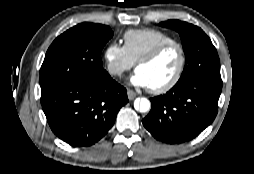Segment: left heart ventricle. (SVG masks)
<instances>
[{"label": "left heart ventricle", "mask_w": 254, "mask_h": 174, "mask_svg": "<svg viewBox=\"0 0 254 174\" xmlns=\"http://www.w3.org/2000/svg\"><path fill=\"white\" fill-rule=\"evenodd\" d=\"M180 62V53L176 47L165 50L154 61L140 65L141 71L149 82V88L160 87L169 82L175 75Z\"/></svg>", "instance_id": "b2bd125f"}]
</instances>
